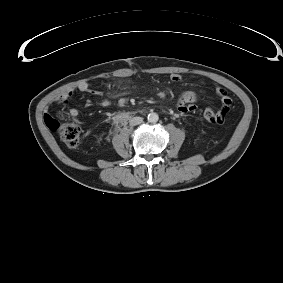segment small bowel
Wrapping results in <instances>:
<instances>
[{
	"label": "small bowel",
	"mask_w": 283,
	"mask_h": 283,
	"mask_svg": "<svg viewBox=\"0 0 283 283\" xmlns=\"http://www.w3.org/2000/svg\"><path fill=\"white\" fill-rule=\"evenodd\" d=\"M170 81L173 83H178L181 81V75L172 74L170 76ZM77 89L81 92H92L91 85L87 82H83L79 84ZM74 91H70L65 95V98L68 99L72 97ZM216 95L221 99V108L223 109L226 106V102L228 101L231 106V100L227 94V91L223 88L216 89ZM201 100V95L199 93L193 91H182L179 95L177 110L181 114H191L197 111L196 104ZM69 116L71 118H77L79 116V110L77 108H71L69 110Z\"/></svg>",
	"instance_id": "c3829d8e"
}]
</instances>
